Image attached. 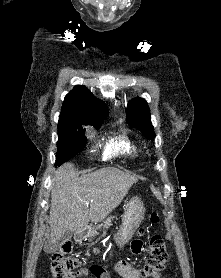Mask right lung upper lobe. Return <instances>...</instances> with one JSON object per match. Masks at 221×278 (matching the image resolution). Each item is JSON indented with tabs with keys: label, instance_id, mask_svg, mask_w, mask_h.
<instances>
[{
	"label": "right lung upper lobe",
	"instance_id": "1",
	"mask_svg": "<svg viewBox=\"0 0 221 278\" xmlns=\"http://www.w3.org/2000/svg\"><path fill=\"white\" fill-rule=\"evenodd\" d=\"M107 114L106 105L98 101L85 86L79 85L66 95L59 120L101 124Z\"/></svg>",
	"mask_w": 221,
	"mask_h": 278
}]
</instances>
